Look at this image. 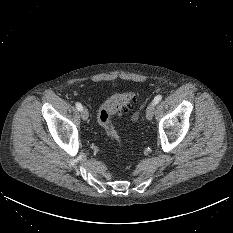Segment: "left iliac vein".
<instances>
[{
	"label": "left iliac vein",
	"instance_id": "obj_1",
	"mask_svg": "<svg viewBox=\"0 0 233 233\" xmlns=\"http://www.w3.org/2000/svg\"><path fill=\"white\" fill-rule=\"evenodd\" d=\"M154 111H155V104L154 102H151L146 109L147 120H151L153 118Z\"/></svg>",
	"mask_w": 233,
	"mask_h": 233
}]
</instances>
